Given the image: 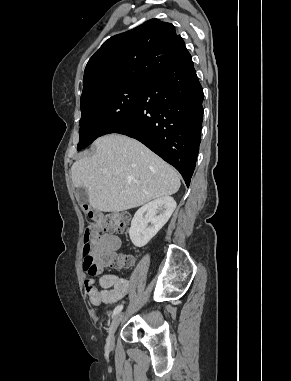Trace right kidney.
<instances>
[{"instance_id":"1","label":"right kidney","mask_w":291,"mask_h":381,"mask_svg":"<svg viewBox=\"0 0 291 381\" xmlns=\"http://www.w3.org/2000/svg\"><path fill=\"white\" fill-rule=\"evenodd\" d=\"M176 208V201L170 196L157 198L135 213L129 236L137 247L145 246L167 223Z\"/></svg>"}]
</instances>
